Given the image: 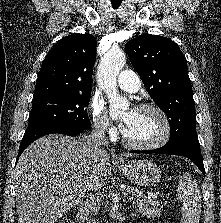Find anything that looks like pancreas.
I'll use <instances>...</instances> for the list:
<instances>
[{
	"label": "pancreas",
	"mask_w": 221,
	"mask_h": 223,
	"mask_svg": "<svg viewBox=\"0 0 221 223\" xmlns=\"http://www.w3.org/2000/svg\"><path fill=\"white\" fill-rule=\"evenodd\" d=\"M126 192L131 194L130 198L137 206V213L148 218H156L161 215L160 202L145 196L138 189L128 186ZM87 223H91L89 219H86ZM93 223V222H92Z\"/></svg>",
	"instance_id": "pancreas-1"
}]
</instances>
